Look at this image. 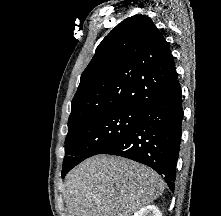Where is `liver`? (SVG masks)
Here are the masks:
<instances>
[{
  "label": "liver",
  "mask_w": 221,
  "mask_h": 216,
  "mask_svg": "<svg viewBox=\"0 0 221 216\" xmlns=\"http://www.w3.org/2000/svg\"><path fill=\"white\" fill-rule=\"evenodd\" d=\"M163 179L149 167L116 156H94L65 178L68 216H132L162 195Z\"/></svg>",
  "instance_id": "obj_1"
}]
</instances>
